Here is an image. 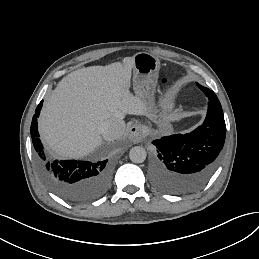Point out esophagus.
<instances>
[{
  "instance_id": "1",
  "label": "esophagus",
  "mask_w": 259,
  "mask_h": 259,
  "mask_svg": "<svg viewBox=\"0 0 259 259\" xmlns=\"http://www.w3.org/2000/svg\"><path fill=\"white\" fill-rule=\"evenodd\" d=\"M144 138V129L143 127L135 123L130 127L128 139L133 143H139Z\"/></svg>"
}]
</instances>
